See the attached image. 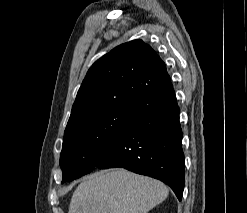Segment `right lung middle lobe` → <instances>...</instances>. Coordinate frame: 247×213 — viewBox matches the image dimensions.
Wrapping results in <instances>:
<instances>
[{
	"label": "right lung middle lobe",
	"instance_id": "right-lung-middle-lobe-1",
	"mask_svg": "<svg viewBox=\"0 0 247 213\" xmlns=\"http://www.w3.org/2000/svg\"><path fill=\"white\" fill-rule=\"evenodd\" d=\"M130 100L117 103L64 133L60 167L62 183L95 168L98 156L119 132L131 110Z\"/></svg>",
	"mask_w": 247,
	"mask_h": 213
}]
</instances>
